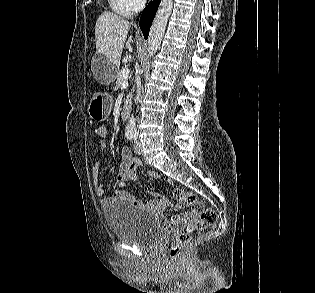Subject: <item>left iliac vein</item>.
Segmentation results:
<instances>
[{
    "instance_id": "obj_1",
    "label": "left iliac vein",
    "mask_w": 315,
    "mask_h": 293,
    "mask_svg": "<svg viewBox=\"0 0 315 293\" xmlns=\"http://www.w3.org/2000/svg\"><path fill=\"white\" fill-rule=\"evenodd\" d=\"M134 150H135L136 154H138V155L142 154V143L139 139H136L134 141Z\"/></svg>"
}]
</instances>
